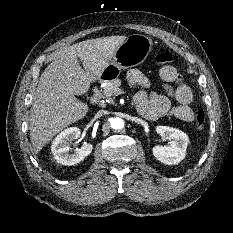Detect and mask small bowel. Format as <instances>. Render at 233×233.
Segmentation results:
<instances>
[{
  "label": "small bowel",
  "instance_id": "1",
  "mask_svg": "<svg viewBox=\"0 0 233 233\" xmlns=\"http://www.w3.org/2000/svg\"><path fill=\"white\" fill-rule=\"evenodd\" d=\"M128 82L140 87L141 90L134 96V102L139 113L147 119L156 120L165 116H173L184 122L194 120V112L190 108L193 94L190 87L180 79L174 85H167V89L173 90L177 104L162 94L149 91V79L138 69H131L127 73Z\"/></svg>",
  "mask_w": 233,
  "mask_h": 233
}]
</instances>
